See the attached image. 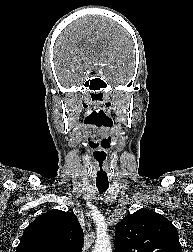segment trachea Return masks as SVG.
I'll use <instances>...</instances> for the list:
<instances>
[{
	"instance_id": "trachea-1",
	"label": "trachea",
	"mask_w": 193,
	"mask_h": 252,
	"mask_svg": "<svg viewBox=\"0 0 193 252\" xmlns=\"http://www.w3.org/2000/svg\"><path fill=\"white\" fill-rule=\"evenodd\" d=\"M96 186H97V188H98V191H99L100 193H103V192H105V191L108 189L109 184H108V183H105V184L96 183Z\"/></svg>"
}]
</instances>
